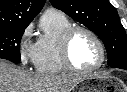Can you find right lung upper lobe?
<instances>
[{"label": "right lung upper lobe", "mask_w": 127, "mask_h": 92, "mask_svg": "<svg viewBox=\"0 0 127 92\" xmlns=\"http://www.w3.org/2000/svg\"><path fill=\"white\" fill-rule=\"evenodd\" d=\"M44 3L45 0H0V27L29 25Z\"/></svg>", "instance_id": "right-lung-upper-lobe-1"}]
</instances>
